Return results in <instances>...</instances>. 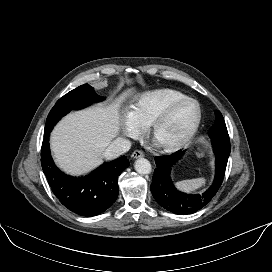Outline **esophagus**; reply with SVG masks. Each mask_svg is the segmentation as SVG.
Wrapping results in <instances>:
<instances>
[{"mask_svg": "<svg viewBox=\"0 0 272 272\" xmlns=\"http://www.w3.org/2000/svg\"><path fill=\"white\" fill-rule=\"evenodd\" d=\"M143 156H144V153H143L142 151H140V150H135V151L132 153V155H131V157H132L133 159L141 158V157H143Z\"/></svg>", "mask_w": 272, "mask_h": 272, "instance_id": "34e87169", "label": "esophagus"}]
</instances>
